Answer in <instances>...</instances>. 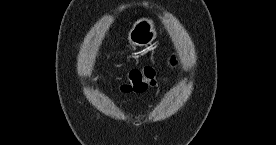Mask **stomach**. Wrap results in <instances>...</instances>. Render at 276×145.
<instances>
[{
    "label": "stomach",
    "mask_w": 276,
    "mask_h": 145,
    "mask_svg": "<svg viewBox=\"0 0 276 145\" xmlns=\"http://www.w3.org/2000/svg\"><path fill=\"white\" fill-rule=\"evenodd\" d=\"M157 37V31L151 19L141 18L137 20L129 32L128 40L132 45L147 46Z\"/></svg>",
    "instance_id": "stomach-1"
}]
</instances>
